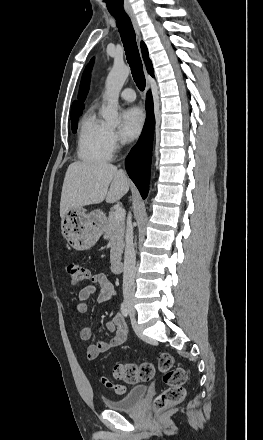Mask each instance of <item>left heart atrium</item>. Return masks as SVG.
I'll use <instances>...</instances> for the list:
<instances>
[{
	"label": "left heart atrium",
	"instance_id": "left-heart-atrium-1",
	"mask_svg": "<svg viewBox=\"0 0 263 440\" xmlns=\"http://www.w3.org/2000/svg\"><path fill=\"white\" fill-rule=\"evenodd\" d=\"M144 124V114L138 107H130L122 113L121 135L125 140H133L140 134Z\"/></svg>",
	"mask_w": 263,
	"mask_h": 440
}]
</instances>
